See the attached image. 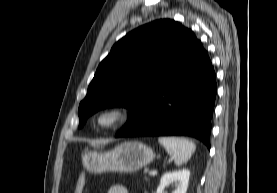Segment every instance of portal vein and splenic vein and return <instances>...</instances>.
I'll return each instance as SVG.
<instances>
[{
    "mask_svg": "<svg viewBox=\"0 0 277 193\" xmlns=\"http://www.w3.org/2000/svg\"><path fill=\"white\" fill-rule=\"evenodd\" d=\"M157 170H152V171H150L149 172V174L151 175V176H155V175H157Z\"/></svg>",
    "mask_w": 277,
    "mask_h": 193,
    "instance_id": "1",
    "label": "portal vein and splenic vein"
}]
</instances>
